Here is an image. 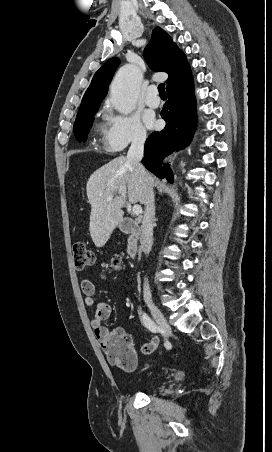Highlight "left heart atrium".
Listing matches in <instances>:
<instances>
[{
    "label": "left heart atrium",
    "instance_id": "39dd6f15",
    "mask_svg": "<svg viewBox=\"0 0 272 452\" xmlns=\"http://www.w3.org/2000/svg\"><path fill=\"white\" fill-rule=\"evenodd\" d=\"M148 125L152 128L156 127L157 123L154 119H149L148 120Z\"/></svg>",
    "mask_w": 272,
    "mask_h": 452
}]
</instances>
